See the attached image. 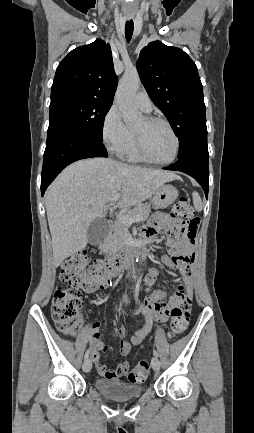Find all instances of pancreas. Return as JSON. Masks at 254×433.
<instances>
[{"label": "pancreas", "mask_w": 254, "mask_h": 433, "mask_svg": "<svg viewBox=\"0 0 254 433\" xmlns=\"http://www.w3.org/2000/svg\"><path fill=\"white\" fill-rule=\"evenodd\" d=\"M151 213L150 205L137 204L126 214L130 216L139 215L141 220H146ZM129 235L128 224L117 218L112 226V234L109 236V243L114 246H120L125 238Z\"/></svg>", "instance_id": "obj_1"}]
</instances>
